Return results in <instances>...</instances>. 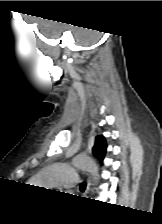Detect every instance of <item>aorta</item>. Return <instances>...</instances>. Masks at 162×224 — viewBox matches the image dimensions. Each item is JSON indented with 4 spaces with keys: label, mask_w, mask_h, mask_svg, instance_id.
Here are the masks:
<instances>
[{
    "label": "aorta",
    "mask_w": 162,
    "mask_h": 224,
    "mask_svg": "<svg viewBox=\"0 0 162 224\" xmlns=\"http://www.w3.org/2000/svg\"><path fill=\"white\" fill-rule=\"evenodd\" d=\"M72 163L75 167L88 171L94 183L98 181V166L92 158L85 155H78L74 157Z\"/></svg>",
    "instance_id": "obj_1"
}]
</instances>
